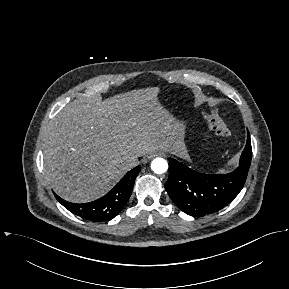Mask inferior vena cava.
<instances>
[{"mask_svg":"<svg viewBox=\"0 0 289 289\" xmlns=\"http://www.w3.org/2000/svg\"><path fill=\"white\" fill-rule=\"evenodd\" d=\"M126 161L130 167H134L138 164V161L136 160L134 156H127Z\"/></svg>","mask_w":289,"mask_h":289,"instance_id":"inferior-vena-cava-1","label":"inferior vena cava"}]
</instances>
